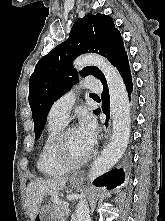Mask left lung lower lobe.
Instances as JSON below:
<instances>
[{"label": "left lung lower lobe", "instance_id": "1", "mask_svg": "<svg viewBox=\"0 0 165 221\" xmlns=\"http://www.w3.org/2000/svg\"><path fill=\"white\" fill-rule=\"evenodd\" d=\"M117 69L121 75V77L124 80L126 89L128 91V95L130 96L133 92V83H132V77L130 72V66L128 62V57L125 55L119 64L117 65ZM103 84V93L101 95L102 99V110L106 114V126L108 125L109 120V114H110V99H109V91L106 80L102 82ZM96 114L98 112L96 111ZM125 179V173L123 169H113L108 173H105L104 175L98 177L93 182L96 186H107L108 189L115 188L119 185H121L124 182Z\"/></svg>", "mask_w": 165, "mask_h": 221}]
</instances>
